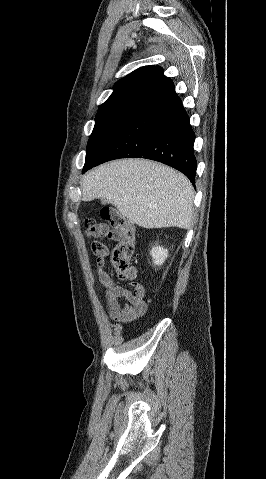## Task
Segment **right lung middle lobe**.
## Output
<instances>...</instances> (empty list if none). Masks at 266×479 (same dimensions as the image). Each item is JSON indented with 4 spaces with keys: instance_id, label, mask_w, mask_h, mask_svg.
I'll use <instances>...</instances> for the list:
<instances>
[{
    "instance_id": "dd1d6c3e",
    "label": "right lung middle lobe",
    "mask_w": 266,
    "mask_h": 479,
    "mask_svg": "<svg viewBox=\"0 0 266 479\" xmlns=\"http://www.w3.org/2000/svg\"><path fill=\"white\" fill-rule=\"evenodd\" d=\"M137 113L136 111H117L96 115V123L87 145L83 173L94 162L109 141L132 120Z\"/></svg>"
}]
</instances>
